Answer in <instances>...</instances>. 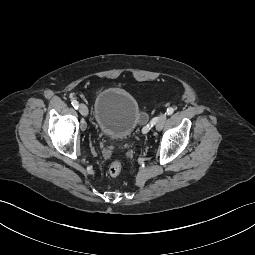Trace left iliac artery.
<instances>
[{
  "label": "left iliac artery",
  "mask_w": 255,
  "mask_h": 255,
  "mask_svg": "<svg viewBox=\"0 0 255 255\" xmlns=\"http://www.w3.org/2000/svg\"><path fill=\"white\" fill-rule=\"evenodd\" d=\"M173 112H174V108H173V107H169V108H167L165 114L171 115V114H173ZM156 123H157V120H156V117H155V118L152 119V121L150 122V124H147V126L144 127V129H143V131H142V134H143V135H146L147 132L151 129V127H152L153 125H155Z\"/></svg>",
  "instance_id": "44dca946"
}]
</instances>
